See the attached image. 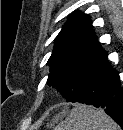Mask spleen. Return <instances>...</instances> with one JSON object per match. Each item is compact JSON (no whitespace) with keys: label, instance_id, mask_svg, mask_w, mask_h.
Returning <instances> with one entry per match:
<instances>
[{"label":"spleen","instance_id":"3e777b00","mask_svg":"<svg viewBox=\"0 0 123 130\" xmlns=\"http://www.w3.org/2000/svg\"><path fill=\"white\" fill-rule=\"evenodd\" d=\"M55 130H118V126L103 110L78 104Z\"/></svg>","mask_w":123,"mask_h":130}]
</instances>
